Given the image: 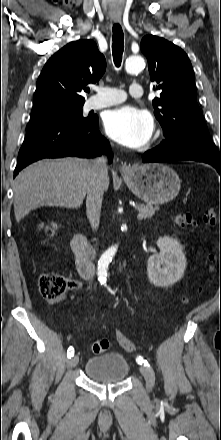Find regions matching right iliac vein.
I'll list each match as a JSON object with an SVG mask.
<instances>
[{
    "label": "right iliac vein",
    "mask_w": 221,
    "mask_h": 440,
    "mask_svg": "<svg viewBox=\"0 0 221 440\" xmlns=\"http://www.w3.org/2000/svg\"><path fill=\"white\" fill-rule=\"evenodd\" d=\"M78 361H79L78 356H73L72 358H70V359L67 361V366H68V367H74V366L77 365Z\"/></svg>",
    "instance_id": "obj_1"
}]
</instances>
